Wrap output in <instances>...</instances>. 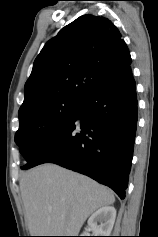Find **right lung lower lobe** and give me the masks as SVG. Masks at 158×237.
<instances>
[{
	"label": "right lung lower lobe",
	"instance_id": "98d812e1",
	"mask_svg": "<svg viewBox=\"0 0 158 237\" xmlns=\"http://www.w3.org/2000/svg\"><path fill=\"white\" fill-rule=\"evenodd\" d=\"M136 125L137 96L129 66L92 91L22 169L55 163L93 178L124 199Z\"/></svg>",
	"mask_w": 158,
	"mask_h": 237
}]
</instances>
